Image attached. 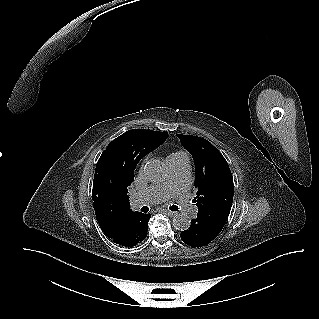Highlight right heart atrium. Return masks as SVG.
<instances>
[{
    "label": "right heart atrium",
    "mask_w": 319,
    "mask_h": 319,
    "mask_svg": "<svg viewBox=\"0 0 319 319\" xmlns=\"http://www.w3.org/2000/svg\"><path fill=\"white\" fill-rule=\"evenodd\" d=\"M145 163H146V159H144V160L142 161V163H141V170L143 169Z\"/></svg>",
    "instance_id": "obj_1"
}]
</instances>
